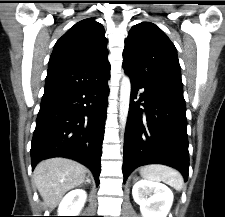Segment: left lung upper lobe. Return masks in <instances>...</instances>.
I'll return each instance as SVG.
<instances>
[{
	"label": "left lung upper lobe",
	"mask_w": 225,
	"mask_h": 217,
	"mask_svg": "<svg viewBox=\"0 0 225 217\" xmlns=\"http://www.w3.org/2000/svg\"><path fill=\"white\" fill-rule=\"evenodd\" d=\"M125 72L146 86L183 90L177 50L155 24L142 22L131 28L123 51Z\"/></svg>",
	"instance_id": "obj_1"
}]
</instances>
